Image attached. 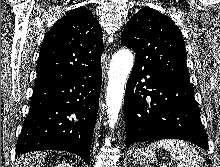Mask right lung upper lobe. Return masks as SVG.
I'll return each instance as SVG.
<instances>
[{
  "label": "right lung upper lobe",
  "instance_id": "obj_1",
  "mask_svg": "<svg viewBox=\"0 0 220 167\" xmlns=\"http://www.w3.org/2000/svg\"><path fill=\"white\" fill-rule=\"evenodd\" d=\"M102 29L87 8L71 10L46 33L34 88L51 85L101 65Z\"/></svg>",
  "mask_w": 220,
  "mask_h": 167
}]
</instances>
